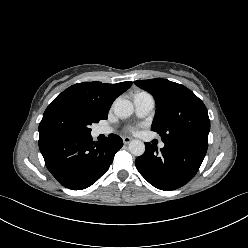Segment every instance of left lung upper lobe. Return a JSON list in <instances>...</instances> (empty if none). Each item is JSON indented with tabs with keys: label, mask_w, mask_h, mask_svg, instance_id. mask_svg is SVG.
I'll use <instances>...</instances> for the list:
<instances>
[{
	"label": "left lung upper lobe",
	"mask_w": 248,
	"mask_h": 248,
	"mask_svg": "<svg viewBox=\"0 0 248 248\" xmlns=\"http://www.w3.org/2000/svg\"><path fill=\"white\" fill-rule=\"evenodd\" d=\"M138 87L156 101L152 130L164 143L199 142L208 144L210 120L204 103L187 87L166 79L138 80Z\"/></svg>",
	"instance_id": "5c2ea615"
}]
</instances>
